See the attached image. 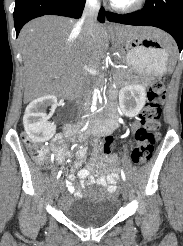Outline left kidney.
Masks as SVG:
<instances>
[{"instance_id": "obj_1", "label": "left kidney", "mask_w": 183, "mask_h": 246, "mask_svg": "<svg viewBox=\"0 0 183 246\" xmlns=\"http://www.w3.org/2000/svg\"><path fill=\"white\" fill-rule=\"evenodd\" d=\"M146 101L145 87L139 84L127 85L119 91V103L122 112L128 117L140 113Z\"/></svg>"}]
</instances>
